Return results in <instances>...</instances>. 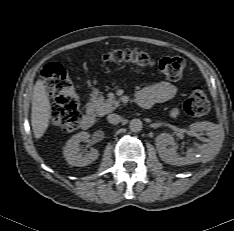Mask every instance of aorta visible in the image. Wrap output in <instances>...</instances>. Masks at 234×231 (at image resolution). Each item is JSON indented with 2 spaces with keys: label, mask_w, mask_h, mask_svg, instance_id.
I'll list each match as a JSON object with an SVG mask.
<instances>
[{
  "label": "aorta",
  "mask_w": 234,
  "mask_h": 231,
  "mask_svg": "<svg viewBox=\"0 0 234 231\" xmlns=\"http://www.w3.org/2000/svg\"><path fill=\"white\" fill-rule=\"evenodd\" d=\"M142 127V121L139 119H132L129 123V129L135 133L140 132L142 130Z\"/></svg>",
  "instance_id": "obj_1"
}]
</instances>
